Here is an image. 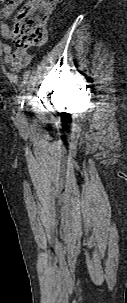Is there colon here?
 <instances>
[{
	"label": "colon",
	"mask_w": 127,
	"mask_h": 303,
	"mask_svg": "<svg viewBox=\"0 0 127 303\" xmlns=\"http://www.w3.org/2000/svg\"><path fill=\"white\" fill-rule=\"evenodd\" d=\"M11 3L12 0H0ZM58 0H28L15 18L11 38L19 48L42 46L46 41L47 22Z\"/></svg>",
	"instance_id": "obj_1"
}]
</instances>
